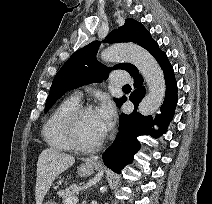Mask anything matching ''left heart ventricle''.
<instances>
[{
    "label": "left heart ventricle",
    "instance_id": "left-heart-ventricle-1",
    "mask_svg": "<svg viewBox=\"0 0 212 204\" xmlns=\"http://www.w3.org/2000/svg\"><path fill=\"white\" fill-rule=\"evenodd\" d=\"M76 130L79 141L84 145L94 144L104 136L96 111L83 115L77 122Z\"/></svg>",
    "mask_w": 212,
    "mask_h": 204
}]
</instances>
